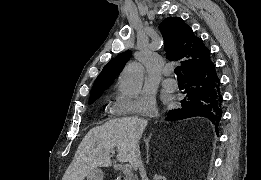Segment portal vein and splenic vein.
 Masks as SVG:
<instances>
[{
    "mask_svg": "<svg viewBox=\"0 0 261 180\" xmlns=\"http://www.w3.org/2000/svg\"><path fill=\"white\" fill-rule=\"evenodd\" d=\"M122 172L123 174H132V170L129 168V166H123Z\"/></svg>",
    "mask_w": 261,
    "mask_h": 180,
    "instance_id": "portal-vein-and-splenic-vein-1",
    "label": "portal vein and splenic vein"
}]
</instances>
